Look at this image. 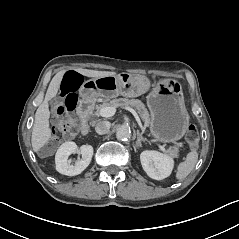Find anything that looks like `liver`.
<instances>
[{
    "label": "liver",
    "mask_w": 239,
    "mask_h": 239,
    "mask_svg": "<svg viewBox=\"0 0 239 239\" xmlns=\"http://www.w3.org/2000/svg\"><path fill=\"white\" fill-rule=\"evenodd\" d=\"M78 73L87 77H105L115 76V72L96 71L83 68L75 69ZM65 71H59L51 80L44 101L39 105L35 113L31 143L34 152H38L51 138V129L49 128L50 111L48 101L56 96Z\"/></svg>",
    "instance_id": "liver-1"
}]
</instances>
